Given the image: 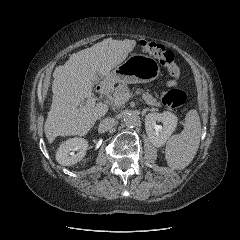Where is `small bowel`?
Returning a JSON list of instances; mask_svg holds the SVG:
<instances>
[{
	"mask_svg": "<svg viewBox=\"0 0 240 240\" xmlns=\"http://www.w3.org/2000/svg\"><path fill=\"white\" fill-rule=\"evenodd\" d=\"M168 85H169V86H173L174 83H173V82H169Z\"/></svg>",
	"mask_w": 240,
	"mask_h": 240,
	"instance_id": "obj_1",
	"label": "small bowel"
}]
</instances>
